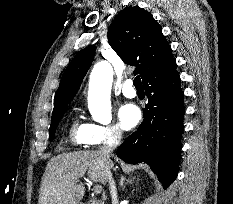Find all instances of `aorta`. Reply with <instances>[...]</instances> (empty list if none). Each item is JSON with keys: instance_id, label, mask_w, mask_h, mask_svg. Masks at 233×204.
Returning <instances> with one entry per match:
<instances>
[{"instance_id": "aorta-1", "label": "aorta", "mask_w": 233, "mask_h": 204, "mask_svg": "<svg viewBox=\"0 0 233 204\" xmlns=\"http://www.w3.org/2000/svg\"><path fill=\"white\" fill-rule=\"evenodd\" d=\"M112 82V66L107 61L95 64L89 81L88 108L93 120L101 124H109L112 120Z\"/></svg>"}]
</instances>
